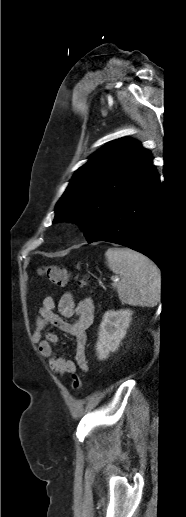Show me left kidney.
<instances>
[{"mask_svg":"<svg viewBox=\"0 0 186 517\" xmlns=\"http://www.w3.org/2000/svg\"><path fill=\"white\" fill-rule=\"evenodd\" d=\"M133 311L121 309L107 311L100 324L96 351L99 360L108 358L110 352H115L132 320Z\"/></svg>","mask_w":186,"mask_h":517,"instance_id":"5707ae66","label":"left kidney"}]
</instances>
